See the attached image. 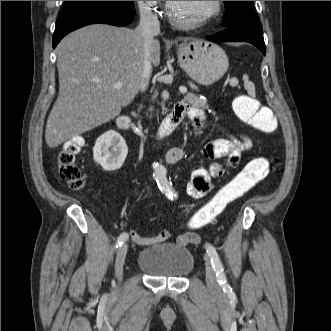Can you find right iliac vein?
I'll use <instances>...</instances> for the list:
<instances>
[{
    "label": "right iliac vein",
    "mask_w": 331,
    "mask_h": 331,
    "mask_svg": "<svg viewBox=\"0 0 331 331\" xmlns=\"http://www.w3.org/2000/svg\"><path fill=\"white\" fill-rule=\"evenodd\" d=\"M128 250V245L124 243L118 249L117 256H116V264H115V273L116 277L119 281L122 280L123 277V266L125 263V258Z\"/></svg>",
    "instance_id": "63e3f726"
}]
</instances>
